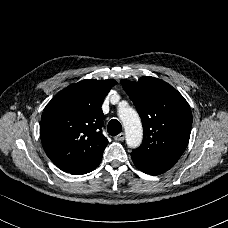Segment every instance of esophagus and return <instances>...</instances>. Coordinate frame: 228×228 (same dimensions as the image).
Listing matches in <instances>:
<instances>
[{
  "instance_id": "obj_1",
  "label": "esophagus",
  "mask_w": 228,
  "mask_h": 228,
  "mask_svg": "<svg viewBox=\"0 0 228 228\" xmlns=\"http://www.w3.org/2000/svg\"><path fill=\"white\" fill-rule=\"evenodd\" d=\"M124 138H125V134L123 132H121L120 134L114 137L116 141H123Z\"/></svg>"
}]
</instances>
